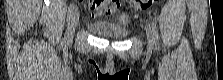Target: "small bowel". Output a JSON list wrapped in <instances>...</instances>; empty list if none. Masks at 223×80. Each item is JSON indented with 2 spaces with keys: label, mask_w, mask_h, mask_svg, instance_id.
I'll list each match as a JSON object with an SVG mask.
<instances>
[{
  "label": "small bowel",
  "mask_w": 223,
  "mask_h": 80,
  "mask_svg": "<svg viewBox=\"0 0 223 80\" xmlns=\"http://www.w3.org/2000/svg\"><path fill=\"white\" fill-rule=\"evenodd\" d=\"M117 7V4H108L101 1H95L90 5V9L94 14H110L115 11Z\"/></svg>",
  "instance_id": "obj_1"
}]
</instances>
